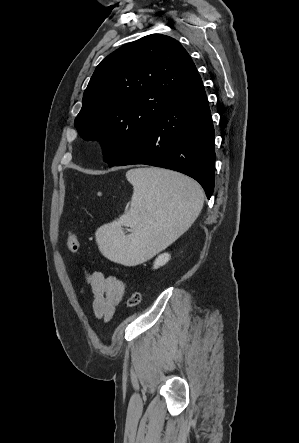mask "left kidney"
<instances>
[{
  "mask_svg": "<svg viewBox=\"0 0 299 443\" xmlns=\"http://www.w3.org/2000/svg\"><path fill=\"white\" fill-rule=\"evenodd\" d=\"M170 260L169 253L160 254L154 261V269H157L163 265H165Z\"/></svg>",
  "mask_w": 299,
  "mask_h": 443,
  "instance_id": "5707ae66",
  "label": "left kidney"
}]
</instances>
